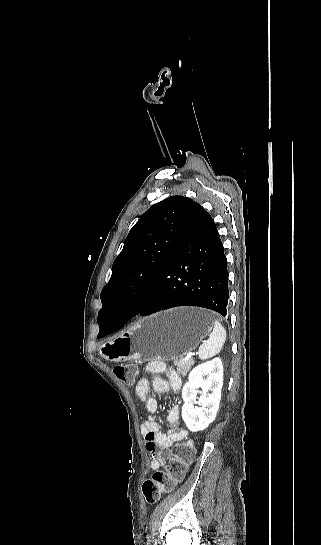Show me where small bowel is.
I'll list each match as a JSON object with an SVG mask.
<instances>
[{"label":"small bowel","instance_id":"1","mask_svg":"<svg viewBox=\"0 0 321 545\" xmlns=\"http://www.w3.org/2000/svg\"><path fill=\"white\" fill-rule=\"evenodd\" d=\"M144 375L136 384L137 397L144 403L148 412L146 420L141 425V434L145 441L146 450L151 455V469L158 470L163 461L170 456V448L177 442L187 438V431L180 425V408L173 405L167 415L168 430L163 432L152 416L158 410V401L149 395V381L146 374H155L153 389L162 394L169 391L177 393L182 386L180 375L171 368H167L162 361H152L143 368ZM164 375L165 377H162Z\"/></svg>","mask_w":321,"mask_h":545}]
</instances>
